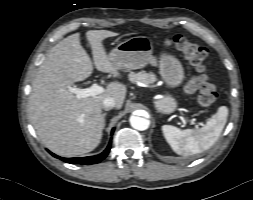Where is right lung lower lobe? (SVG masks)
<instances>
[{
    "mask_svg": "<svg viewBox=\"0 0 253 200\" xmlns=\"http://www.w3.org/2000/svg\"><path fill=\"white\" fill-rule=\"evenodd\" d=\"M114 130H112L113 132ZM111 149V142L108 144L107 148L99 155L95 156H89V157H80V158H62L59 157L53 153H51L54 157L59 158L67 163L71 164H94V163H99L102 161L109 153Z\"/></svg>",
    "mask_w": 253,
    "mask_h": 200,
    "instance_id": "right-lung-lower-lobe-1",
    "label": "right lung lower lobe"
}]
</instances>
